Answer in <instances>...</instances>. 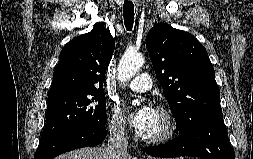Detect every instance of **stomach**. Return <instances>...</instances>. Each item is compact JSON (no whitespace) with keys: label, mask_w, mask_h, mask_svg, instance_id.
Segmentation results:
<instances>
[{"label":"stomach","mask_w":253,"mask_h":159,"mask_svg":"<svg viewBox=\"0 0 253 159\" xmlns=\"http://www.w3.org/2000/svg\"><path fill=\"white\" fill-rule=\"evenodd\" d=\"M175 159H184V158L180 157V158H175Z\"/></svg>","instance_id":"obj_1"}]
</instances>
